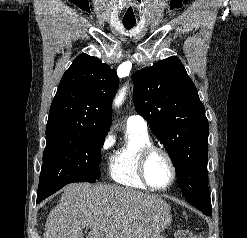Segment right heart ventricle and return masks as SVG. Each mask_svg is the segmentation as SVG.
Segmentation results:
<instances>
[{"label": "right heart ventricle", "mask_w": 247, "mask_h": 238, "mask_svg": "<svg viewBox=\"0 0 247 238\" xmlns=\"http://www.w3.org/2000/svg\"><path fill=\"white\" fill-rule=\"evenodd\" d=\"M151 144L147 131L126 127L125 140L113 151L108 162L109 175L119 185L147 189L138 172L143 148Z\"/></svg>", "instance_id": "e07e8e85"}]
</instances>
